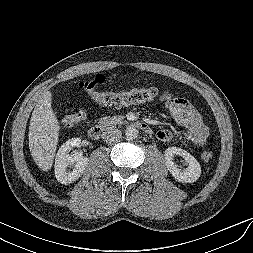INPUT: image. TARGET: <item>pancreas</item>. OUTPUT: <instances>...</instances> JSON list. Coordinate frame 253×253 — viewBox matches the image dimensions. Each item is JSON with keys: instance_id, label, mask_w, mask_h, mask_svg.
<instances>
[{"instance_id": "pancreas-1", "label": "pancreas", "mask_w": 253, "mask_h": 253, "mask_svg": "<svg viewBox=\"0 0 253 253\" xmlns=\"http://www.w3.org/2000/svg\"><path fill=\"white\" fill-rule=\"evenodd\" d=\"M121 116L105 117L99 121L100 125L104 127H114L116 124L121 123Z\"/></svg>"}]
</instances>
